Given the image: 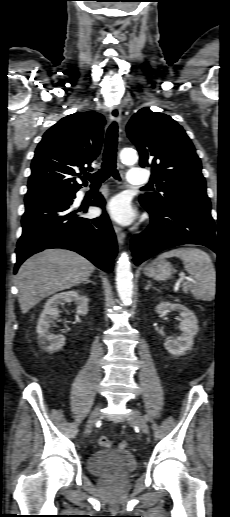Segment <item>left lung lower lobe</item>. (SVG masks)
Instances as JSON below:
<instances>
[{
    "label": "left lung lower lobe",
    "instance_id": "0a47b994",
    "mask_svg": "<svg viewBox=\"0 0 230 517\" xmlns=\"http://www.w3.org/2000/svg\"><path fill=\"white\" fill-rule=\"evenodd\" d=\"M142 206L150 213L151 225L132 238L136 265L164 249L183 244L204 245L218 253L210 201H185L161 210Z\"/></svg>",
    "mask_w": 230,
    "mask_h": 517
}]
</instances>
